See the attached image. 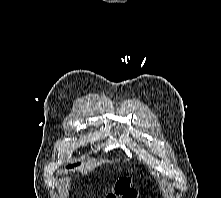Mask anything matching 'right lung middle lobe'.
I'll return each mask as SVG.
<instances>
[{"label": "right lung middle lobe", "instance_id": "1", "mask_svg": "<svg viewBox=\"0 0 221 198\" xmlns=\"http://www.w3.org/2000/svg\"><path fill=\"white\" fill-rule=\"evenodd\" d=\"M77 164H74V165H69V166H67V168H72V167H74V166H76Z\"/></svg>", "mask_w": 221, "mask_h": 198}]
</instances>
